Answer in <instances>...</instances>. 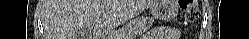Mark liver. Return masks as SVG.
<instances>
[{
	"instance_id": "obj_1",
	"label": "liver",
	"mask_w": 249,
	"mask_h": 39,
	"mask_svg": "<svg viewBox=\"0 0 249 39\" xmlns=\"http://www.w3.org/2000/svg\"><path fill=\"white\" fill-rule=\"evenodd\" d=\"M156 1L47 0L44 28L49 39H108L115 27L139 15Z\"/></svg>"
}]
</instances>
